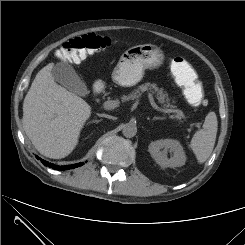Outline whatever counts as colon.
I'll return each instance as SVG.
<instances>
[{
    "label": "colon",
    "mask_w": 245,
    "mask_h": 245,
    "mask_svg": "<svg viewBox=\"0 0 245 245\" xmlns=\"http://www.w3.org/2000/svg\"><path fill=\"white\" fill-rule=\"evenodd\" d=\"M109 45L106 37L93 33L75 37L66 42L59 50V56L70 62H80L86 56L93 54ZM178 64L183 65L185 59H176ZM187 62V61H186ZM181 68V66L179 67ZM177 82L183 87L184 96L193 106L203 105L205 102L204 88L202 82L196 77L183 78L174 74Z\"/></svg>",
    "instance_id": "5ec220e1"
}]
</instances>
